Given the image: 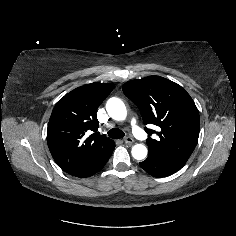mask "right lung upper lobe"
Segmentation results:
<instances>
[{
    "mask_svg": "<svg viewBox=\"0 0 236 236\" xmlns=\"http://www.w3.org/2000/svg\"><path fill=\"white\" fill-rule=\"evenodd\" d=\"M114 85L91 83L62 97L54 107L47 128V143L56 163L68 174L82 177L115 148L113 140L99 133L97 109Z\"/></svg>",
    "mask_w": 236,
    "mask_h": 236,
    "instance_id": "obj_1",
    "label": "right lung upper lobe"
}]
</instances>
